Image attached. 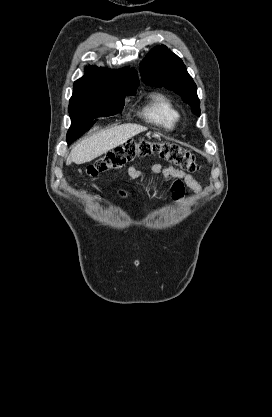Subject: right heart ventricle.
I'll list each match as a JSON object with an SVG mask.
<instances>
[{"mask_svg": "<svg viewBox=\"0 0 272 417\" xmlns=\"http://www.w3.org/2000/svg\"><path fill=\"white\" fill-rule=\"evenodd\" d=\"M142 115L146 121L168 130L174 129L180 120L178 109L172 100L162 93H155L150 97Z\"/></svg>", "mask_w": 272, "mask_h": 417, "instance_id": "obj_1", "label": "right heart ventricle"}]
</instances>
